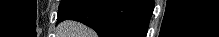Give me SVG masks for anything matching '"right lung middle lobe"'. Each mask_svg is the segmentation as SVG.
<instances>
[{
    "mask_svg": "<svg viewBox=\"0 0 219 37\" xmlns=\"http://www.w3.org/2000/svg\"><path fill=\"white\" fill-rule=\"evenodd\" d=\"M74 0H61L59 9H58V14L69 4H71Z\"/></svg>",
    "mask_w": 219,
    "mask_h": 37,
    "instance_id": "obj_1",
    "label": "right lung middle lobe"
}]
</instances>
